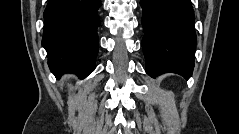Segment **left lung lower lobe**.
Wrapping results in <instances>:
<instances>
[{
    "label": "left lung lower lobe",
    "instance_id": "left-lung-lower-lobe-1",
    "mask_svg": "<svg viewBox=\"0 0 239 134\" xmlns=\"http://www.w3.org/2000/svg\"><path fill=\"white\" fill-rule=\"evenodd\" d=\"M142 47L146 72L155 77L172 72L189 79L195 58L196 33L190 0H141Z\"/></svg>",
    "mask_w": 239,
    "mask_h": 134
}]
</instances>
